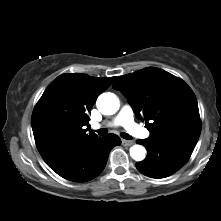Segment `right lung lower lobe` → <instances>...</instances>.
<instances>
[{
  "label": "right lung lower lobe",
  "instance_id": "right-lung-lower-lobe-1",
  "mask_svg": "<svg viewBox=\"0 0 221 221\" xmlns=\"http://www.w3.org/2000/svg\"><path fill=\"white\" fill-rule=\"evenodd\" d=\"M121 144L115 134L95 138L84 145L46 159L45 162L61 177L86 182L98 176L104 169L110 150Z\"/></svg>",
  "mask_w": 221,
  "mask_h": 221
}]
</instances>
